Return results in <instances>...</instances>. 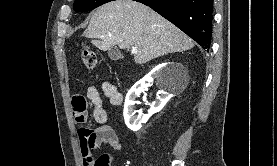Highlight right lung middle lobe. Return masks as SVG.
<instances>
[{
  "instance_id": "1",
  "label": "right lung middle lobe",
  "mask_w": 277,
  "mask_h": 166,
  "mask_svg": "<svg viewBox=\"0 0 277 166\" xmlns=\"http://www.w3.org/2000/svg\"><path fill=\"white\" fill-rule=\"evenodd\" d=\"M113 0H75L74 10L76 12H87Z\"/></svg>"
}]
</instances>
